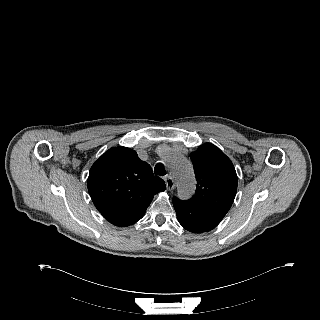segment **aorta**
<instances>
[{
	"instance_id": "1",
	"label": "aorta",
	"mask_w": 320,
	"mask_h": 320,
	"mask_svg": "<svg viewBox=\"0 0 320 320\" xmlns=\"http://www.w3.org/2000/svg\"><path fill=\"white\" fill-rule=\"evenodd\" d=\"M165 161L178 186V196L188 199L195 190V177L191 162L181 154L170 152Z\"/></svg>"
}]
</instances>
